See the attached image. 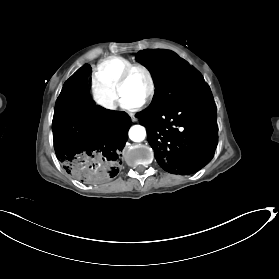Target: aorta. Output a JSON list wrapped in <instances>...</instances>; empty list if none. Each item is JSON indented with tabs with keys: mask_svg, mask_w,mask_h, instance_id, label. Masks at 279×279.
I'll use <instances>...</instances> for the list:
<instances>
[{
	"mask_svg": "<svg viewBox=\"0 0 279 279\" xmlns=\"http://www.w3.org/2000/svg\"><path fill=\"white\" fill-rule=\"evenodd\" d=\"M146 137V130L141 125H134L129 129V138L134 142H141Z\"/></svg>",
	"mask_w": 279,
	"mask_h": 279,
	"instance_id": "762f6f07",
	"label": "aorta"
}]
</instances>
